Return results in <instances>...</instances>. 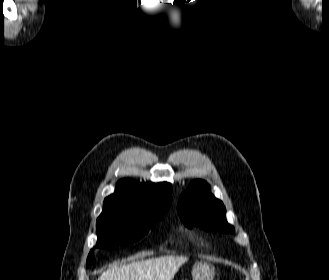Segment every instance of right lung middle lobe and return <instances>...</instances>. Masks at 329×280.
I'll use <instances>...</instances> for the list:
<instances>
[{
  "mask_svg": "<svg viewBox=\"0 0 329 280\" xmlns=\"http://www.w3.org/2000/svg\"><path fill=\"white\" fill-rule=\"evenodd\" d=\"M170 204L156 205L150 210H141L119 203L104 204V209L97 219V248L118 244L133 243L144 237L151 227L169 208ZM94 260L91 250L87 266Z\"/></svg>",
  "mask_w": 329,
  "mask_h": 280,
  "instance_id": "dd1d6c3e",
  "label": "right lung middle lobe"
}]
</instances>
